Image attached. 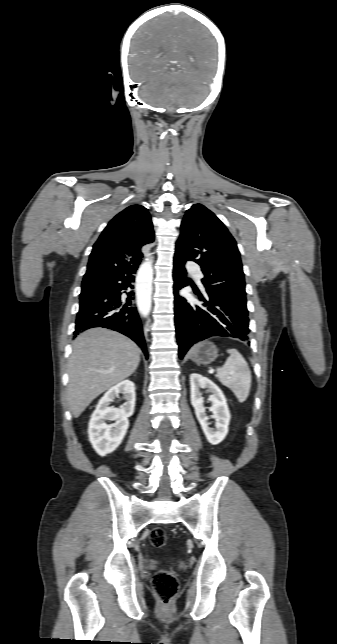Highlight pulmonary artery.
<instances>
[{
	"mask_svg": "<svg viewBox=\"0 0 337 644\" xmlns=\"http://www.w3.org/2000/svg\"><path fill=\"white\" fill-rule=\"evenodd\" d=\"M187 268H188L189 271L194 273L196 278L200 281V279L202 278V274H201L198 266L196 264H194L193 262H189L187 264Z\"/></svg>",
	"mask_w": 337,
	"mask_h": 644,
	"instance_id": "obj_1",
	"label": "pulmonary artery"
}]
</instances>
